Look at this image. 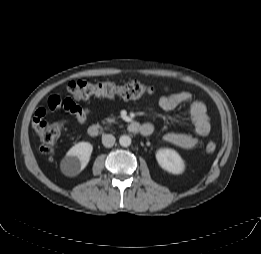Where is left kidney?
Returning <instances> with one entry per match:
<instances>
[{
    "instance_id": "left-kidney-1",
    "label": "left kidney",
    "mask_w": 261,
    "mask_h": 254,
    "mask_svg": "<svg viewBox=\"0 0 261 254\" xmlns=\"http://www.w3.org/2000/svg\"><path fill=\"white\" fill-rule=\"evenodd\" d=\"M156 159L162 169L172 174H181L185 169L183 159L175 150L160 149L156 152Z\"/></svg>"
}]
</instances>
